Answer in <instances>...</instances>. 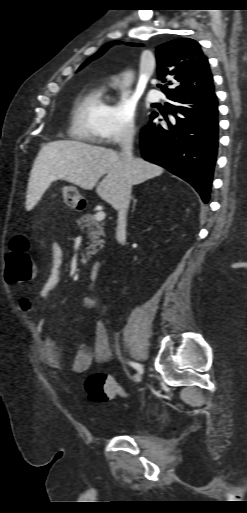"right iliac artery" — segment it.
<instances>
[{"instance_id": "obj_1", "label": "right iliac artery", "mask_w": 247, "mask_h": 513, "mask_svg": "<svg viewBox=\"0 0 247 513\" xmlns=\"http://www.w3.org/2000/svg\"><path fill=\"white\" fill-rule=\"evenodd\" d=\"M129 365L136 369L139 373L143 372V367L141 364L130 361Z\"/></svg>"}]
</instances>
